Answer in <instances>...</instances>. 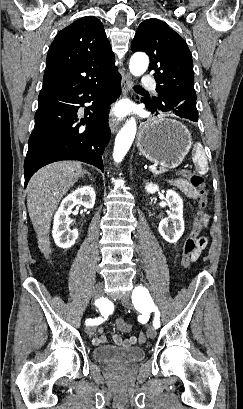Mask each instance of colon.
Here are the masks:
<instances>
[{"label": "colon", "instance_id": "obj_1", "mask_svg": "<svg viewBox=\"0 0 243 409\" xmlns=\"http://www.w3.org/2000/svg\"><path fill=\"white\" fill-rule=\"evenodd\" d=\"M189 184L199 193V206L193 223L192 231L184 242L183 254H182V266L187 268L193 262L192 254L196 249L197 241L200 237V232L204 226L205 209L207 206V188L204 183V179L201 175L190 171L183 172ZM116 325L124 332L131 330V325L125 320L118 318ZM140 343L146 341V337L143 333L139 334Z\"/></svg>", "mask_w": 243, "mask_h": 409}]
</instances>
